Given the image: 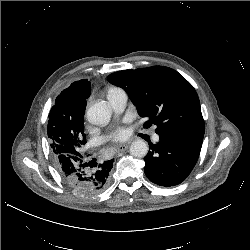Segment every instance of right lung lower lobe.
<instances>
[{
    "label": "right lung lower lobe",
    "instance_id": "right-lung-lower-lobe-1",
    "mask_svg": "<svg viewBox=\"0 0 250 250\" xmlns=\"http://www.w3.org/2000/svg\"><path fill=\"white\" fill-rule=\"evenodd\" d=\"M55 162L63 179L84 196H92L101 192L108 184L109 172L113 167V159L100 164L95 161L87 163L83 157L72 156L70 158L65 154L59 155ZM92 162L93 166H91Z\"/></svg>",
    "mask_w": 250,
    "mask_h": 250
}]
</instances>
